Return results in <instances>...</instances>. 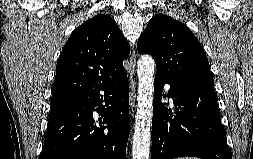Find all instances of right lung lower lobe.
<instances>
[{
	"label": "right lung lower lobe",
	"mask_w": 253,
	"mask_h": 159,
	"mask_svg": "<svg viewBox=\"0 0 253 159\" xmlns=\"http://www.w3.org/2000/svg\"><path fill=\"white\" fill-rule=\"evenodd\" d=\"M94 112L101 115L99 122ZM129 124V84L124 70L50 114L39 159H125Z\"/></svg>",
	"instance_id": "right-lung-lower-lobe-1"
}]
</instances>
